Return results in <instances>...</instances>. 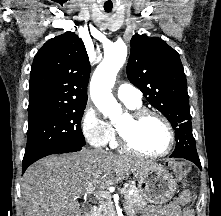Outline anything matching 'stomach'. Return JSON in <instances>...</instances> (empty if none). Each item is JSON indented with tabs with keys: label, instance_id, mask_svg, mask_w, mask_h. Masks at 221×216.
<instances>
[{
	"label": "stomach",
	"instance_id": "obj_1",
	"mask_svg": "<svg viewBox=\"0 0 221 216\" xmlns=\"http://www.w3.org/2000/svg\"><path fill=\"white\" fill-rule=\"evenodd\" d=\"M138 189L145 203L165 204L175 194L177 182L173 175L159 165H149L134 172Z\"/></svg>",
	"mask_w": 221,
	"mask_h": 216
}]
</instances>
